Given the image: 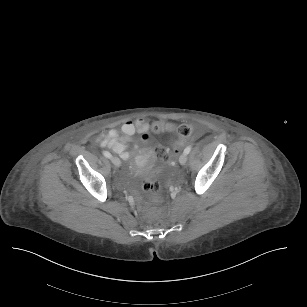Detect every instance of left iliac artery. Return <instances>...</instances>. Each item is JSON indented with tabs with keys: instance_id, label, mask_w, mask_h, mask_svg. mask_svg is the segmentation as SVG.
<instances>
[{
	"instance_id": "obj_1",
	"label": "left iliac artery",
	"mask_w": 307,
	"mask_h": 307,
	"mask_svg": "<svg viewBox=\"0 0 307 307\" xmlns=\"http://www.w3.org/2000/svg\"><path fill=\"white\" fill-rule=\"evenodd\" d=\"M190 151H191V146H188L184 149L185 154H189Z\"/></svg>"
}]
</instances>
